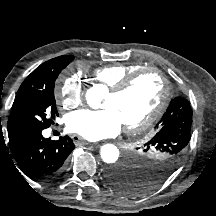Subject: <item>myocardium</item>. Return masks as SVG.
<instances>
[{"label":"myocardium","instance_id":"myocardium-1","mask_svg":"<svg viewBox=\"0 0 216 216\" xmlns=\"http://www.w3.org/2000/svg\"><path fill=\"white\" fill-rule=\"evenodd\" d=\"M147 72H154L160 77L162 82L163 92L159 99V102L157 103L153 111L149 114V116H147L144 120H142L137 124L124 125L125 132L129 134L143 132L148 128H150L159 119V117L162 115L163 111L165 110L170 98L169 81L166 75L164 74V72L161 71L160 69L156 67H144L125 76L115 86L111 87L109 91V94L113 96H119L124 92H126L132 86V84L135 82L136 79H138L141 75Z\"/></svg>","mask_w":216,"mask_h":216}]
</instances>
